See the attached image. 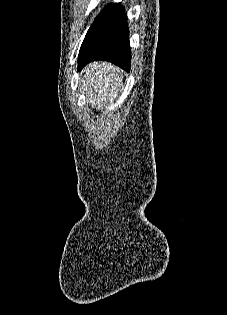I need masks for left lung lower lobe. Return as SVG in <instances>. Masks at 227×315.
Returning <instances> with one entry per match:
<instances>
[{
	"label": "left lung lower lobe",
	"mask_w": 227,
	"mask_h": 315,
	"mask_svg": "<svg viewBox=\"0 0 227 315\" xmlns=\"http://www.w3.org/2000/svg\"><path fill=\"white\" fill-rule=\"evenodd\" d=\"M97 60L130 71L129 30L124 8L119 4H108L89 28L79 51L78 70Z\"/></svg>",
	"instance_id": "1"
}]
</instances>
